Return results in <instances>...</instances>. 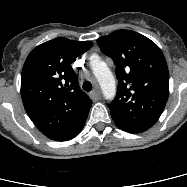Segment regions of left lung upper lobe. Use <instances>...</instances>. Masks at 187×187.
I'll return each instance as SVG.
<instances>
[{
  "label": "left lung upper lobe",
  "mask_w": 187,
  "mask_h": 187,
  "mask_svg": "<svg viewBox=\"0 0 187 187\" xmlns=\"http://www.w3.org/2000/svg\"><path fill=\"white\" fill-rule=\"evenodd\" d=\"M97 43L116 65L117 94L108 104L115 124L132 134L148 130L161 116L169 95L162 51L147 37L130 30H118Z\"/></svg>",
  "instance_id": "obj_1"
}]
</instances>
